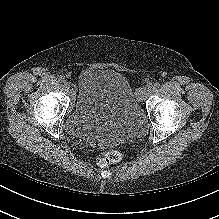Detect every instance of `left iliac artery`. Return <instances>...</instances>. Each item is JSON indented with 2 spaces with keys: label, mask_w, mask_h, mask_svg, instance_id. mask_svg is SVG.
<instances>
[{
  "label": "left iliac artery",
  "mask_w": 219,
  "mask_h": 219,
  "mask_svg": "<svg viewBox=\"0 0 219 219\" xmlns=\"http://www.w3.org/2000/svg\"><path fill=\"white\" fill-rule=\"evenodd\" d=\"M160 87V83L159 82H155L153 84V89H158Z\"/></svg>",
  "instance_id": "left-iliac-artery-1"
}]
</instances>
